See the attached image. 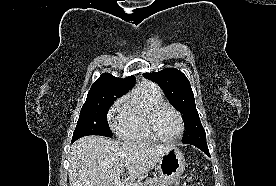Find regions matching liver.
I'll use <instances>...</instances> for the list:
<instances>
[{
    "instance_id": "liver-1",
    "label": "liver",
    "mask_w": 276,
    "mask_h": 186,
    "mask_svg": "<svg viewBox=\"0 0 276 186\" xmlns=\"http://www.w3.org/2000/svg\"><path fill=\"white\" fill-rule=\"evenodd\" d=\"M174 146L120 142L102 136L78 139L69 155L70 186H113L112 178L124 174L132 182L150 171Z\"/></svg>"
}]
</instances>
